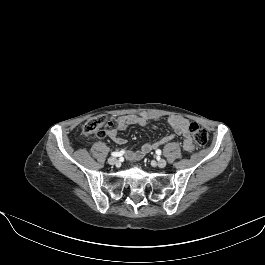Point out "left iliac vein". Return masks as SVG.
I'll list each match as a JSON object with an SVG mask.
<instances>
[{"label":"left iliac vein","instance_id":"4c4485c4","mask_svg":"<svg viewBox=\"0 0 265 265\" xmlns=\"http://www.w3.org/2000/svg\"><path fill=\"white\" fill-rule=\"evenodd\" d=\"M157 165H158V167H160V168H164V167L167 165V162H166L164 159H159V160L157 161Z\"/></svg>","mask_w":265,"mask_h":265}]
</instances>
